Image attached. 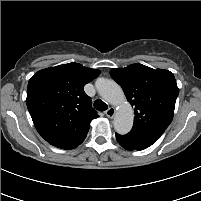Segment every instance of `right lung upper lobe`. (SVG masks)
<instances>
[{"instance_id": "1", "label": "right lung upper lobe", "mask_w": 201, "mask_h": 201, "mask_svg": "<svg viewBox=\"0 0 201 201\" xmlns=\"http://www.w3.org/2000/svg\"><path fill=\"white\" fill-rule=\"evenodd\" d=\"M100 71L68 63L43 69L28 83L27 107L39 134L50 144L85 137L97 118L84 85Z\"/></svg>"}]
</instances>
